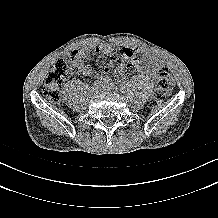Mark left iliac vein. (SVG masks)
I'll return each mask as SVG.
<instances>
[{
  "mask_svg": "<svg viewBox=\"0 0 218 218\" xmlns=\"http://www.w3.org/2000/svg\"><path fill=\"white\" fill-rule=\"evenodd\" d=\"M101 90H107V91H117V87L113 84H104L101 87Z\"/></svg>",
  "mask_w": 218,
  "mask_h": 218,
  "instance_id": "obj_1",
  "label": "left iliac vein"
}]
</instances>
